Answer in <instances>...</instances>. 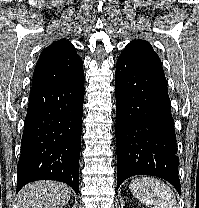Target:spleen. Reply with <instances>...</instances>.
<instances>
[{
	"mask_svg": "<svg viewBox=\"0 0 199 208\" xmlns=\"http://www.w3.org/2000/svg\"><path fill=\"white\" fill-rule=\"evenodd\" d=\"M129 189L141 203L150 208H178L171 188L156 178L135 179L130 183Z\"/></svg>",
	"mask_w": 199,
	"mask_h": 208,
	"instance_id": "spleen-1",
	"label": "spleen"
}]
</instances>
